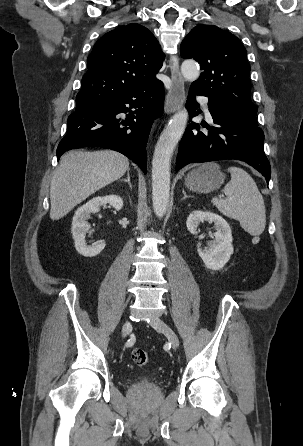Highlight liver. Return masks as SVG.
I'll return each instance as SVG.
<instances>
[{"instance_id":"6515ba94","label":"liver","mask_w":303,"mask_h":446,"mask_svg":"<svg viewBox=\"0 0 303 446\" xmlns=\"http://www.w3.org/2000/svg\"><path fill=\"white\" fill-rule=\"evenodd\" d=\"M128 169V158L116 151H69L62 156L51 180L50 218H63L91 194L122 177Z\"/></svg>"}]
</instances>
